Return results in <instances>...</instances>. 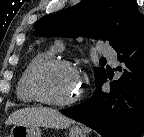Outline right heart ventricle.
I'll list each match as a JSON object with an SVG mask.
<instances>
[{
  "mask_svg": "<svg viewBox=\"0 0 144 137\" xmlns=\"http://www.w3.org/2000/svg\"><path fill=\"white\" fill-rule=\"evenodd\" d=\"M50 56H51L50 51L39 52L36 55H34L27 63L26 67L24 68L18 80L17 87H16V94L18 99L21 102L26 104H32L37 101L34 98V96L30 93L28 88L29 75L36 64H38L39 62L45 59L50 58Z\"/></svg>",
  "mask_w": 144,
  "mask_h": 137,
  "instance_id": "1",
  "label": "right heart ventricle"
}]
</instances>
